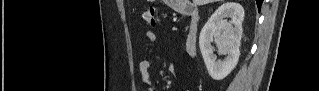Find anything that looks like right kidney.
Wrapping results in <instances>:
<instances>
[{"label": "right kidney", "instance_id": "right-kidney-1", "mask_svg": "<svg viewBox=\"0 0 319 91\" xmlns=\"http://www.w3.org/2000/svg\"><path fill=\"white\" fill-rule=\"evenodd\" d=\"M243 19V7L236 2H227L212 14L201 30L200 51L208 73L214 80L224 79L238 63ZM213 40L219 53L227 54L224 60H216L211 46Z\"/></svg>", "mask_w": 319, "mask_h": 91}]
</instances>
